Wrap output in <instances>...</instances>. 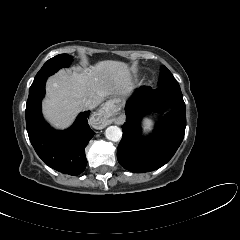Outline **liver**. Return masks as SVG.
<instances>
[{"instance_id":"6515ba94","label":"liver","mask_w":240,"mask_h":240,"mask_svg":"<svg viewBox=\"0 0 240 240\" xmlns=\"http://www.w3.org/2000/svg\"><path fill=\"white\" fill-rule=\"evenodd\" d=\"M135 87L129 66L105 60L80 73L60 70L46 83L42 111L47 121L58 129L69 127L86 100L97 106L109 95H122Z\"/></svg>"}]
</instances>
